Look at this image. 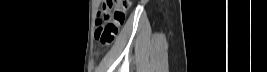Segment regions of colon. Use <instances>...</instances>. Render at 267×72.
Returning <instances> with one entry per match:
<instances>
[{
  "mask_svg": "<svg viewBox=\"0 0 267 72\" xmlns=\"http://www.w3.org/2000/svg\"><path fill=\"white\" fill-rule=\"evenodd\" d=\"M128 0L103 1L102 13L108 15L96 22L95 39L99 44L108 46L112 44L118 34L119 26L128 9Z\"/></svg>",
  "mask_w": 267,
  "mask_h": 72,
  "instance_id": "5ec220e1",
  "label": "colon"
}]
</instances>
